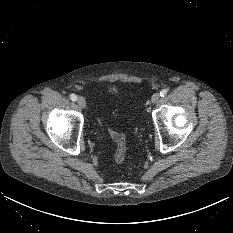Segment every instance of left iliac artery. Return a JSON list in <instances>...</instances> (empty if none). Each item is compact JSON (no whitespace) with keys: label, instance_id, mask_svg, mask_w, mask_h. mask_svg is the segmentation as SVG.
<instances>
[{"label":"left iliac artery","instance_id":"44dca946","mask_svg":"<svg viewBox=\"0 0 233 233\" xmlns=\"http://www.w3.org/2000/svg\"><path fill=\"white\" fill-rule=\"evenodd\" d=\"M167 92H168L167 89H162L161 92H160V96H161V97L166 96V95H167Z\"/></svg>","mask_w":233,"mask_h":233}]
</instances>
